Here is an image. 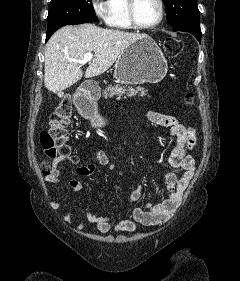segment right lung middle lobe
I'll use <instances>...</instances> for the list:
<instances>
[{
  "label": "right lung middle lobe",
  "mask_w": 240,
  "mask_h": 281,
  "mask_svg": "<svg viewBox=\"0 0 240 281\" xmlns=\"http://www.w3.org/2000/svg\"><path fill=\"white\" fill-rule=\"evenodd\" d=\"M97 21L92 0H51L47 17L46 38L64 25Z\"/></svg>",
  "instance_id": "obj_1"
}]
</instances>
